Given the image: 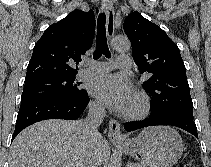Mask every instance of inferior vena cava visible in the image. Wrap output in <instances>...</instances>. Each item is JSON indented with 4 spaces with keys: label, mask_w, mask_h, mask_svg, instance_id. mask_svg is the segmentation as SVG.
I'll list each match as a JSON object with an SVG mask.
<instances>
[{
    "label": "inferior vena cava",
    "mask_w": 211,
    "mask_h": 167,
    "mask_svg": "<svg viewBox=\"0 0 211 167\" xmlns=\"http://www.w3.org/2000/svg\"><path fill=\"white\" fill-rule=\"evenodd\" d=\"M104 117H105L104 107L96 104H93L89 107L88 116L84 120L83 126L85 132H87V134L89 135L92 143L97 142L101 138V135L98 132V127L103 122ZM81 166L96 167L94 154L89 153Z\"/></svg>",
    "instance_id": "1"
}]
</instances>
